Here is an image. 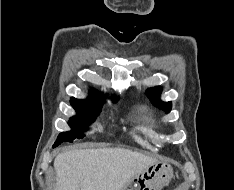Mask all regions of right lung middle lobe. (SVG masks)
Segmentation results:
<instances>
[{
  "label": "right lung middle lobe",
  "instance_id": "right-lung-middle-lobe-1",
  "mask_svg": "<svg viewBox=\"0 0 234 190\" xmlns=\"http://www.w3.org/2000/svg\"><path fill=\"white\" fill-rule=\"evenodd\" d=\"M71 104L77 112V115L72 117L68 122L72 131L60 133L53 147L58 146L62 142H73L75 138H83V132L87 130L89 123L95 120L102 107V104L75 101H71Z\"/></svg>",
  "mask_w": 234,
  "mask_h": 190
}]
</instances>
